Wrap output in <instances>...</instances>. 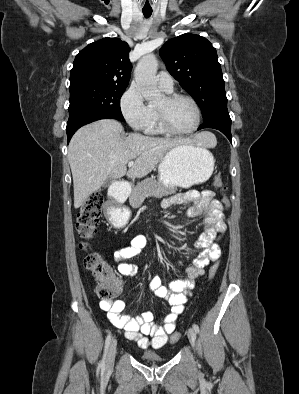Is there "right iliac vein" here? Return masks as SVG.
Instances as JSON below:
<instances>
[{"instance_id":"right-iliac-vein-1","label":"right iliac vein","mask_w":299,"mask_h":394,"mask_svg":"<svg viewBox=\"0 0 299 394\" xmlns=\"http://www.w3.org/2000/svg\"><path fill=\"white\" fill-rule=\"evenodd\" d=\"M116 348H117V340L113 339L110 343L107 359H106V369L110 370L113 368L115 355H116Z\"/></svg>"}]
</instances>
